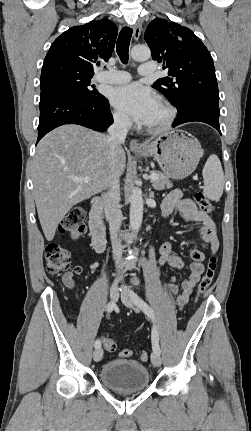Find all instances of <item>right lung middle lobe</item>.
<instances>
[{
  "mask_svg": "<svg viewBox=\"0 0 251 431\" xmlns=\"http://www.w3.org/2000/svg\"><path fill=\"white\" fill-rule=\"evenodd\" d=\"M94 73L86 72L81 68L66 62L52 63L42 68L40 78L41 92L53 88H62L84 97H103L91 85Z\"/></svg>",
  "mask_w": 251,
  "mask_h": 431,
  "instance_id": "obj_1",
  "label": "right lung middle lobe"
}]
</instances>
